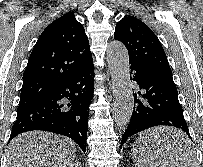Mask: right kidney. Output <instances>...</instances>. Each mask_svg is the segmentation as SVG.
Here are the masks:
<instances>
[{
    "mask_svg": "<svg viewBox=\"0 0 203 167\" xmlns=\"http://www.w3.org/2000/svg\"><path fill=\"white\" fill-rule=\"evenodd\" d=\"M70 167H82V165L80 163H74Z\"/></svg>",
    "mask_w": 203,
    "mask_h": 167,
    "instance_id": "right-kidney-1",
    "label": "right kidney"
}]
</instances>
